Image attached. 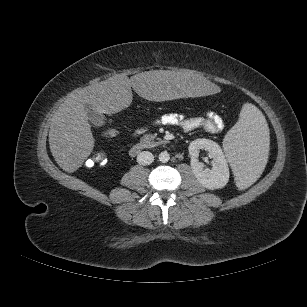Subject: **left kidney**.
Listing matches in <instances>:
<instances>
[{"instance_id": "5707ae66", "label": "left kidney", "mask_w": 307, "mask_h": 307, "mask_svg": "<svg viewBox=\"0 0 307 307\" xmlns=\"http://www.w3.org/2000/svg\"><path fill=\"white\" fill-rule=\"evenodd\" d=\"M191 168L197 180L207 189H219L229 181V167L221 147L208 139H196L189 145ZM207 151L212 161V168H204V164L197 159L200 150Z\"/></svg>"}]
</instances>
